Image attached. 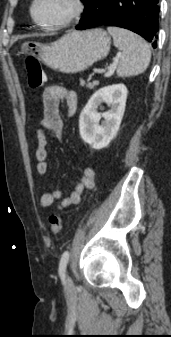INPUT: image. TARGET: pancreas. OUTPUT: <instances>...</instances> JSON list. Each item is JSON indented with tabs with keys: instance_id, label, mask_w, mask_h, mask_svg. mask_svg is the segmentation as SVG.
I'll list each match as a JSON object with an SVG mask.
<instances>
[{
	"instance_id": "pancreas-1",
	"label": "pancreas",
	"mask_w": 171,
	"mask_h": 337,
	"mask_svg": "<svg viewBox=\"0 0 171 337\" xmlns=\"http://www.w3.org/2000/svg\"><path fill=\"white\" fill-rule=\"evenodd\" d=\"M91 78V77H90ZM99 84V82L98 81H93L92 83H85V81L84 80H80V85L81 86H84V85H86V87L87 88H89V89H93L95 86H97Z\"/></svg>"
}]
</instances>
